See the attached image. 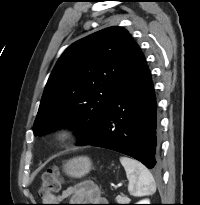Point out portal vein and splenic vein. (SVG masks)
I'll return each mask as SVG.
<instances>
[{
  "mask_svg": "<svg viewBox=\"0 0 200 205\" xmlns=\"http://www.w3.org/2000/svg\"><path fill=\"white\" fill-rule=\"evenodd\" d=\"M120 186H122V183H118V184H117V187H120Z\"/></svg>",
  "mask_w": 200,
  "mask_h": 205,
  "instance_id": "18ae733b",
  "label": "portal vein and splenic vein"
}]
</instances>
